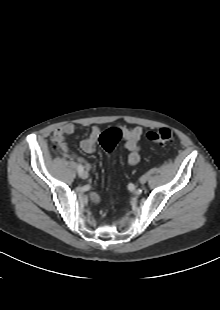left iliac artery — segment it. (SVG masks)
Masks as SVG:
<instances>
[{"instance_id":"1","label":"left iliac artery","mask_w":220,"mask_h":310,"mask_svg":"<svg viewBox=\"0 0 220 310\" xmlns=\"http://www.w3.org/2000/svg\"><path fill=\"white\" fill-rule=\"evenodd\" d=\"M135 188H136V186H135L133 183H129V184H128V190H129V191H134Z\"/></svg>"}]
</instances>
